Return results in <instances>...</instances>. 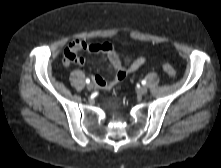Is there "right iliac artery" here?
<instances>
[{
  "mask_svg": "<svg viewBox=\"0 0 221 168\" xmlns=\"http://www.w3.org/2000/svg\"><path fill=\"white\" fill-rule=\"evenodd\" d=\"M86 83H87V84L90 83V79H89V78L86 79Z\"/></svg>",
  "mask_w": 221,
  "mask_h": 168,
  "instance_id": "82829eb1",
  "label": "right iliac artery"
}]
</instances>
